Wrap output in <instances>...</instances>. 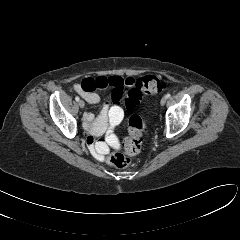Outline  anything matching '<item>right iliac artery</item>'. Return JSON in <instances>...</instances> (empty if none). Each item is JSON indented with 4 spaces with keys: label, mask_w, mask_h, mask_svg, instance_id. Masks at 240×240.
Returning <instances> with one entry per match:
<instances>
[{
    "label": "right iliac artery",
    "mask_w": 240,
    "mask_h": 240,
    "mask_svg": "<svg viewBox=\"0 0 240 240\" xmlns=\"http://www.w3.org/2000/svg\"><path fill=\"white\" fill-rule=\"evenodd\" d=\"M75 100L78 102L80 100V98L78 96H76Z\"/></svg>",
    "instance_id": "right-iliac-artery-1"
}]
</instances>
